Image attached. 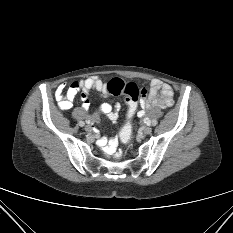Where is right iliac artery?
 Wrapping results in <instances>:
<instances>
[{
	"mask_svg": "<svg viewBox=\"0 0 233 233\" xmlns=\"http://www.w3.org/2000/svg\"><path fill=\"white\" fill-rule=\"evenodd\" d=\"M79 125H80L81 127H83V126L85 125V123H84L83 121H80V122H79Z\"/></svg>",
	"mask_w": 233,
	"mask_h": 233,
	"instance_id": "right-iliac-artery-1",
	"label": "right iliac artery"
}]
</instances>
